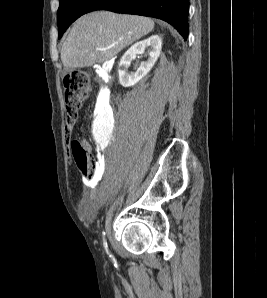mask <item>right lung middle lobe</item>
<instances>
[{
    "mask_svg": "<svg viewBox=\"0 0 267 298\" xmlns=\"http://www.w3.org/2000/svg\"><path fill=\"white\" fill-rule=\"evenodd\" d=\"M98 0H60L57 12L59 38L65 30L81 15L90 12Z\"/></svg>",
    "mask_w": 267,
    "mask_h": 298,
    "instance_id": "right-lung-middle-lobe-1",
    "label": "right lung middle lobe"
}]
</instances>
